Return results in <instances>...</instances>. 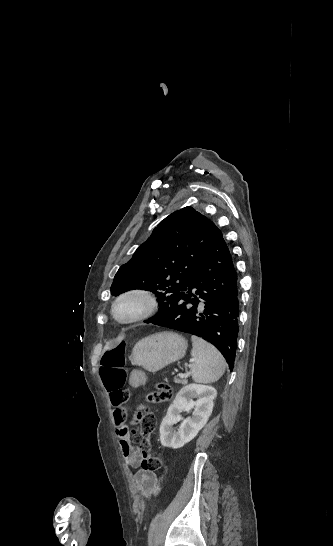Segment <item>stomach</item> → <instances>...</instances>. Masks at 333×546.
Listing matches in <instances>:
<instances>
[{"mask_svg":"<svg viewBox=\"0 0 333 546\" xmlns=\"http://www.w3.org/2000/svg\"><path fill=\"white\" fill-rule=\"evenodd\" d=\"M187 341L174 332L155 333L138 341L129 357L133 365L156 373L184 357Z\"/></svg>","mask_w":333,"mask_h":546,"instance_id":"0dacf381","label":"stomach"}]
</instances>
